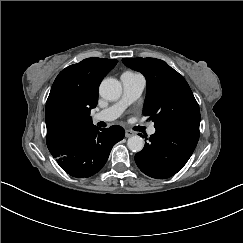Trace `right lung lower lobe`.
<instances>
[{
    "label": "right lung lower lobe",
    "mask_w": 243,
    "mask_h": 243,
    "mask_svg": "<svg viewBox=\"0 0 243 243\" xmlns=\"http://www.w3.org/2000/svg\"><path fill=\"white\" fill-rule=\"evenodd\" d=\"M124 135L120 126L100 129L92 125L72 134L49 151L69 175L90 177L105 165L112 147Z\"/></svg>",
    "instance_id": "right-lung-lower-lobe-1"
}]
</instances>
